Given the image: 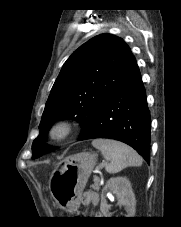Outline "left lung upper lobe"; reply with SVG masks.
Masks as SVG:
<instances>
[{"label":"left lung upper lobe","mask_w":181,"mask_h":227,"mask_svg":"<svg viewBox=\"0 0 181 227\" xmlns=\"http://www.w3.org/2000/svg\"><path fill=\"white\" fill-rule=\"evenodd\" d=\"M136 63L125 42L111 34L98 35L80 46L64 63L40 123V134L32 144V158L55 150L45 143L53 121L75 118L82 125L80 138L92 127L96 116L115 87Z\"/></svg>","instance_id":"obj_1"}]
</instances>
